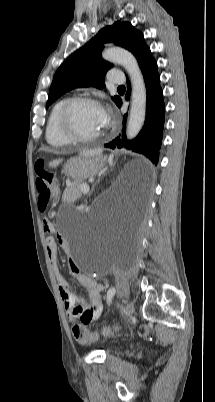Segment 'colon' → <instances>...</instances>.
I'll list each match as a JSON object with an SVG mask.
<instances>
[{
	"mask_svg": "<svg viewBox=\"0 0 215 402\" xmlns=\"http://www.w3.org/2000/svg\"><path fill=\"white\" fill-rule=\"evenodd\" d=\"M37 173L36 187L39 192L38 205L41 210H44L50 202H52L58 193L59 184L55 175L45 168L43 160H38L35 164ZM49 219H44L46 227L49 226ZM91 314L88 311L83 321H85ZM84 322L77 323L73 326L72 332L74 338L80 343H89L96 341L100 335L111 336L118 331V326H105L100 332H90L84 325Z\"/></svg>",
	"mask_w": 215,
	"mask_h": 402,
	"instance_id": "obj_1",
	"label": "colon"
}]
</instances>
